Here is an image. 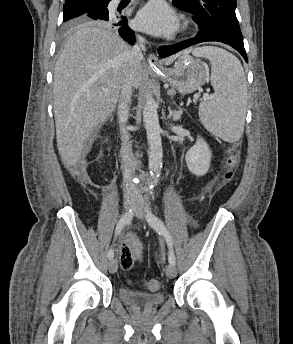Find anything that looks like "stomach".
Here are the masks:
<instances>
[{
    "mask_svg": "<svg viewBox=\"0 0 293 344\" xmlns=\"http://www.w3.org/2000/svg\"><path fill=\"white\" fill-rule=\"evenodd\" d=\"M159 75L181 94H188L204 85L208 74L199 59L183 53L172 68L162 70Z\"/></svg>",
    "mask_w": 293,
    "mask_h": 344,
    "instance_id": "stomach-1",
    "label": "stomach"
}]
</instances>
